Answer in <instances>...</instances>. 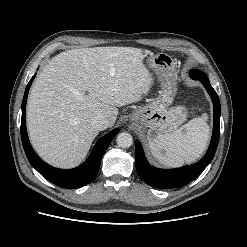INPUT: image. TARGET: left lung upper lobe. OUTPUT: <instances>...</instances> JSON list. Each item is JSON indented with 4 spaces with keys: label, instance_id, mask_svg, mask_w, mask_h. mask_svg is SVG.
Instances as JSON below:
<instances>
[{
    "label": "left lung upper lobe",
    "instance_id": "1",
    "mask_svg": "<svg viewBox=\"0 0 247 247\" xmlns=\"http://www.w3.org/2000/svg\"><path fill=\"white\" fill-rule=\"evenodd\" d=\"M196 71H198V70H196ZM198 72H200V71H198ZM200 73H203V72H200ZM203 74H205V73H203Z\"/></svg>",
    "mask_w": 247,
    "mask_h": 247
}]
</instances>
